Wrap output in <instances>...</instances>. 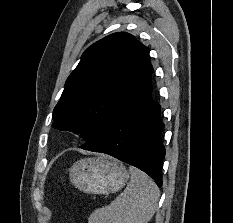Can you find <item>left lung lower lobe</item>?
<instances>
[{
	"label": "left lung lower lobe",
	"instance_id": "0a47b994",
	"mask_svg": "<svg viewBox=\"0 0 233 223\" xmlns=\"http://www.w3.org/2000/svg\"><path fill=\"white\" fill-rule=\"evenodd\" d=\"M152 73L153 69L126 103L81 148L106 153L133 165L161 187L165 148L160 133L164 124L160 118L161 106L151 96Z\"/></svg>",
	"mask_w": 233,
	"mask_h": 223
}]
</instances>
